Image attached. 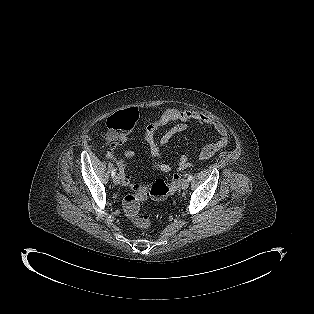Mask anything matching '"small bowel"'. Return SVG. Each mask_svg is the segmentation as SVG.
Here are the masks:
<instances>
[{
    "mask_svg": "<svg viewBox=\"0 0 314 314\" xmlns=\"http://www.w3.org/2000/svg\"><path fill=\"white\" fill-rule=\"evenodd\" d=\"M195 122L201 126L208 127L214 130L217 138L212 143L202 148L199 154L201 160H207L213 157L218 151L224 148L229 141V133L226 126L220 121L199 111L184 109L178 110L175 108L166 109L157 119L150 122L145 130L144 138L149 146L150 153L157 158L162 156V148L166 146L170 140L178 133L184 132L188 129L189 123ZM175 123L174 126L169 128L162 136L158 137L157 132L159 129L167 127L169 124ZM127 141V135L118 137L117 139L110 140V147L106 152L107 158L114 160L119 166L120 170L124 173L127 169V163L124 159L116 158L114 149L117 145L123 144ZM134 151L127 149L125 151V158L131 159L134 157ZM178 168L185 169L190 166L188 157L182 155L178 160ZM159 169L162 172H170L172 166L168 163H160ZM124 183H129V176L123 177Z\"/></svg>",
    "mask_w": 314,
    "mask_h": 314,
    "instance_id": "c3829d8e",
    "label": "small bowel"
}]
</instances>
